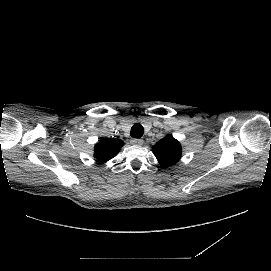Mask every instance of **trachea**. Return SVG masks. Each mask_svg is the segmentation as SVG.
<instances>
[{"mask_svg": "<svg viewBox=\"0 0 271 271\" xmlns=\"http://www.w3.org/2000/svg\"><path fill=\"white\" fill-rule=\"evenodd\" d=\"M144 133V128L141 124L136 123L132 126L130 135L132 137L140 138Z\"/></svg>", "mask_w": 271, "mask_h": 271, "instance_id": "obj_1", "label": "trachea"}]
</instances>
